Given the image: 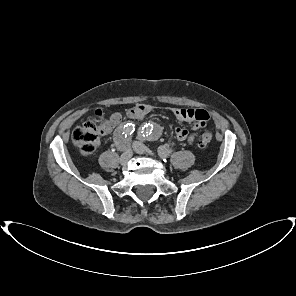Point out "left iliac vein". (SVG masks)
Masks as SVG:
<instances>
[{"label":"left iliac vein","mask_w":296,"mask_h":296,"mask_svg":"<svg viewBox=\"0 0 296 296\" xmlns=\"http://www.w3.org/2000/svg\"><path fill=\"white\" fill-rule=\"evenodd\" d=\"M133 149L138 154H143L146 151L145 145L142 142H139V141H135L133 143Z\"/></svg>","instance_id":"left-iliac-vein-1"}]
</instances>
